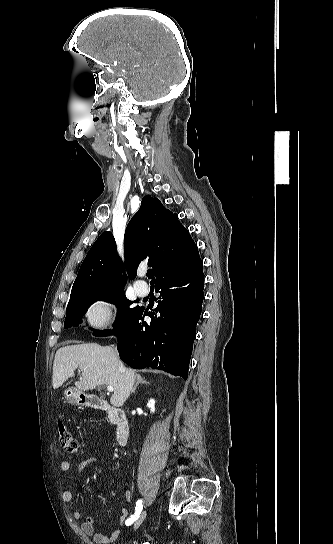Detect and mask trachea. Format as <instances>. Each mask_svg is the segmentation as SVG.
Segmentation results:
<instances>
[{"label":"trachea","instance_id":"1","mask_svg":"<svg viewBox=\"0 0 333 544\" xmlns=\"http://www.w3.org/2000/svg\"><path fill=\"white\" fill-rule=\"evenodd\" d=\"M147 277L151 279V282H154L153 271L151 269L147 271Z\"/></svg>","mask_w":333,"mask_h":544}]
</instances>
